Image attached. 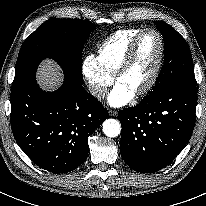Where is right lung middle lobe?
Wrapping results in <instances>:
<instances>
[{"instance_id": "1", "label": "right lung middle lobe", "mask_w": 206, "mask_h": 206, "mask_svg": "<svg viewBox=\"0 0 206 206\" xmlns=\"http://www.w3.org/2000/svg\"><path fill=\"white\" fill-rule=\"evenodd\" d=\"M95 29L87 20L52 18L44 22L22 44L11 91L34 77L38 64L46 57L57 61L65 76L82 83L81 53Z\"/></svg>"}]
</instances>
